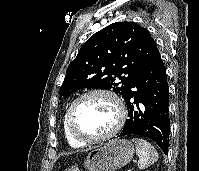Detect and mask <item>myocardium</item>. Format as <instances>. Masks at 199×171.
<instances>
[{
    "mask_svg": "<svg viewBox=\"0 0 199 171\" xmlns=\"http://www.w3.org/2000/svg\"><path fill=\"white\" fill-rule=\"evenodd\" d=\"M93 95H102L106 96L109 99L112 100L116 107L117 111V121L114 125V127L107 132L104 135L97 136V137H87L82 135L75 127L74 125V114H75V109L77 105L79 104L80 101L83 99L93 96ZM127 117V111L125 104L121 97L115 93L114 91H111L109 89L105 88H93L90 90H87L80 94L78 97H76L73 102L70 104L68 110H67V124H68V129L71 133V135L78 141L84 143V144H95L99 142L106 141L112 137H114L124 126V123L126 121Z\"/></svg>",
    "mask_w": 199,
    "mask_h": 171,
    "instance_id": "myocardium-1",
    "label": "myocardium"
}]
</instances>
